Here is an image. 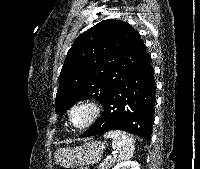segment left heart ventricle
<instances>
[{"instance_id":"b2bd125f","label":"left heart ventricle","mask_w":200,"mask_h":169,"mask_svg":"<svg viewBox=\"0 0 200 169\" xmlns=\"http://www.w3.org/2000/svg\"><path fill=\"white\" fill-rule=\"evenodd\" d=\"M87 118V113L84 110H77L73 114V120L77 124L83 123Z\"/></svg>"}]
</instances>
